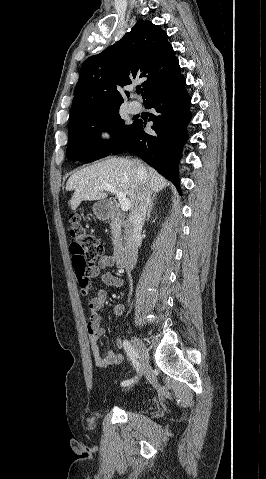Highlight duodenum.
Wrapping results in <instances>:
<instances>
[{"mask_svg": "<svg viewBox=\"0 0 266 479\" xmlns=\"http://www.w3.org/2000/svg\"><path fill=\"white\" fill-rule=\"evenodd\" d=\"M106 213L116 224L123 223V219L120 211L117 208L116 201H109L107 203ZM114 261L117 268H124L126 266L127 252L123 246L116 250L114 254Z\"/></svg>", "mask_w": 266, "mask_h": 479, "instance_id": "duodenum-1", "label": "duodenum"}]
</instances>
